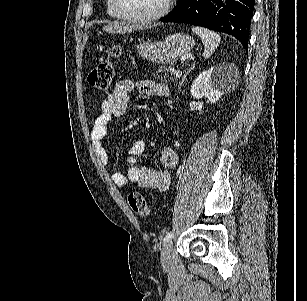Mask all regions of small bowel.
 Wrapping results in <instances>:
<instances>
[{"instance_id":"small-bowel-1","label":"small bowel","mask_w":307,"mask_h":301,"mask_svg":"<svg viewBox=\"0 0 307 301\" xmlns=\"http://www.w3.org/2000/svg\"><path fill=\"white\" fill-rule=\"evenodd\" d=\"M133 83L129 80L118 82L114 91L101 103L100 114L95 118L91 142L103 164L108 163V155L103 146V139L108 132L109 123L113 118L125 114L130 106L129 92ZM138 90L147 96H159L166 93L165 86L150 80H141L137 83ZM146 144L143 140L135 141L128 151L127 174L115 173L112 180L119 188H125L130 183H136L142 188L165 191L170 185V170L177 164L178 157L174 149L164 146L159 152L161 169H152L138 166L137 158L145 151Z\"/></svg>"}]
</instances>
